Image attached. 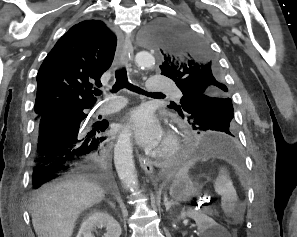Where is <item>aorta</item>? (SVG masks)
<instances>
[{
	"mask_svg": "<svg viewBox=\"0 0 297 237\" xmlns=\"http://www.w3.org/2000/svg\"><path fill=\"white\" fill-rule=\"evenodd\" d=\"M136 65L139 68H151L155 65V58L146 51L139 52L135 56ZM130 130L124 129L118 136L114 148V162L121 181L131 192L138 191V181L133 161Z\"/></svg>",
	"mask_w": 297,
	"mask_h": 237,
	"instance_id": "obj_1",
	"label": "aorta"
}]
</instances>
